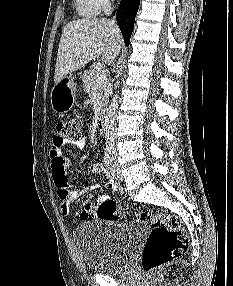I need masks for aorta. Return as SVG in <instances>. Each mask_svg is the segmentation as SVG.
<instances>
[{
    "mask_svg": "<svg viewBox=\"0 0 233 286\" xmlns=\"http://www.w3.org/2000/svg\"><path fill=\"white\" fill-rule=\"evenodd\" d=\"M119 85V83H118ZM119 95L116 93L107 108L105 119H104V127L106 131L107 140L112 142L114 141V132H115V116L116 111L118 109Z\"/></svg>",
    "mask_w": 233,
    "mask_h": 286,
    "instance_id": "obj_1",
    "label": "aorta"
}]
</instances>
